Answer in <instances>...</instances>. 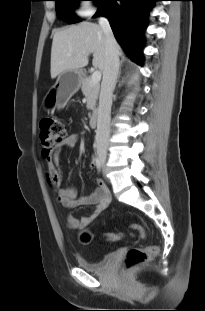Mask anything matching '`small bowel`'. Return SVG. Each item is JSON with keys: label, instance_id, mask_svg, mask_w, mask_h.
<instances>
[{"label": "small bowel", "instance_id": "1", "mask_svg": "<svg viewBox=\"0 0 205 311\" xmlns=\"http://www.w3.org/2000/svg\"><path fill=\"white\" fill-rule=\"evenodd\" d=\"M79 140L78 134L71 133L57 144L47 158L48 169L46 179L50 187L56 193L59 202L67 208H76L82 205H94L95 210L88 216L77 218L73 214L67 217V225L70 229H82L92 223L109 205V192L104 182L96 181L97 188L88 196L77 197L72 187L62 186V171L60 169L59 157L67 149L73 148ZM95 164V158L91 160Z\"/></svg>", "mask_w": 205, "mask_h": 311}]
</instances>
